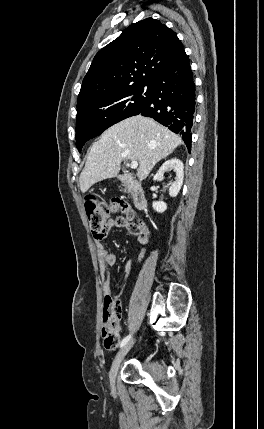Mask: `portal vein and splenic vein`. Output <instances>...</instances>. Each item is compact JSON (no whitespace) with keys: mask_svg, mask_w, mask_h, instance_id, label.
<instances>
[{"mask_svg":"<svg viewBox=\"0 0 264 429\" xmlns=\"http://www.w3.org/2000/svg\"><path fill=\"white\" fill-rule=\"evenodd\" d=\"M130 167H131L132 169H137V167H138V162H137V161H132V162H131V164H130Z\"/></svg>","mask_w":264,"mask_h":429,"instance_id":"18ae733b","label":"portal vein and splenic vein"}]
</instances>
